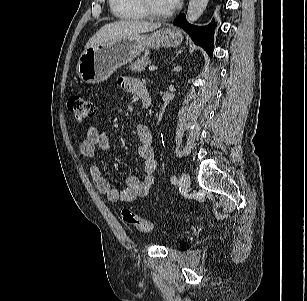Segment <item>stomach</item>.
<instances>
[{"instance_id":"stomach-1","label":"stomach","mask_w":307,"mask_h":301,"mask_svg":"<svg viewBox=\"0 0 307 301\" xmlns=\"http://www.w3.org/2000/svg\"><path fill=\"white\" fill-rule=\"evenodd\" d=\"M182 40L178 29L163 28L151 34H138L110 43L97 44L83 51L76 71L82 81L100 83L119 67L132 62L144 50L177 47Z\"/></svg>"}]
</instances>
